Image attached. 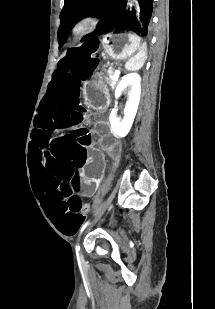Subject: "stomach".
<instances>
[{
	"label": "stomach",
	"instance_id": "obj_1",
	"mask_svg": "<svg viewBox=\"0 0 215 309\" xmlns=\"http://www.w3.org/2000/svg\"><path fill=\"white\" fill-rule=\"evenodd\" d=\"M101 42L104 56L115 61L131 58L142 46L141 38L130 32L109 33ZM105 78V74L101 72L85 82L84 92L90 101H104L107 94Z\"/></svg>",
	"mask_w": 215,
	"mask_h": 309
}]
</instances>
